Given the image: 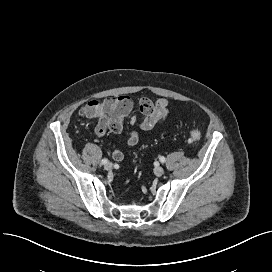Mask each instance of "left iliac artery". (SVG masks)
<instances>
[{
  "label": "left iliac artery",
  "instance_id": "44dca946",
  "mask_svg": "<svg viewBox=\"0 0 272 272\" xmlns=\"http://www.w3.org/2000/svg\"><path fill=\"white\" fill-rule=\"evenodd\" d=\"M160 162L164 163L166 161L165 157L161 156L160 158Z\"/></svg>",
  "mask_w": 272,
  "mask_h": 272
}]
</instances>
